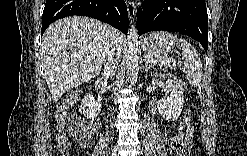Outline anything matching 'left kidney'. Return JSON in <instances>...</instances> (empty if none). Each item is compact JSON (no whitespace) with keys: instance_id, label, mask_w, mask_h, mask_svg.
I'll return each mask as SVG.
<instances>
[{"instance_id":"left-kidney-1","label":"left kidney","mask_w":247,"mask_h":156,"mask_svg":"<svg viewBox=\"0 0 247 156\" xmlns=\"http://www.w3.org/2000/svg\"><path fill=\"white\" fill-rule=\"evenodd\" d=\"M181 81L168 78L166 89L170 94L157 102L159 113L168 121H175L181 115L184 106V87Z\"/></svg>"}]
</instances>
